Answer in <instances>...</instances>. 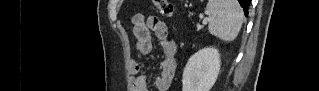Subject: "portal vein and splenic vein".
Segmentation results:
<instances>
[{
	"mask_svg": "<svg viewBox=\"0 0 319 91\" xmlns=\"http://www.w3.org/2000/svg\"><path fill=\"white\" fill-rule=\"evenodd\" d=\"M208 21H209V19H205L203 22H204V23H207Z\"/></svg>",
	"mask_w": 319,
	"mask_h": 91,
	"instance_id": "18ae733b",
	"label": "portal vein and splenic vein"
}]
</instances>
